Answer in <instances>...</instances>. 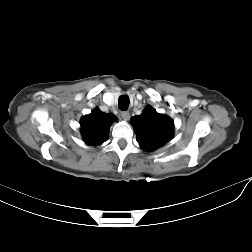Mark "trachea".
<instances>
[{"mask_svg": "<svg viewBox=\"0 0 252 252\" xmlns=\"http://www.w3.org/2000/svg\"><path fill=\"white\" fill-rule=\"evenodd\" d=\"M120 110H127L129 106V98L127 95H121L118 101Z\"/></svg>", "mask_w": 252, "mask_h": 252, "instance_id": "obj_1", "label": "trachea"}]
</instances>
